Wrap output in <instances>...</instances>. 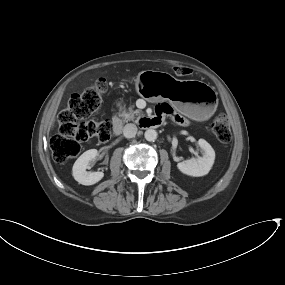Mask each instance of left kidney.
I'll return each instance as SVG.
<instances>
[{
  "mask_svg": "<svg viewBox=\"0 0 285 285\" xmlns=\"http://www.w3.org/2000/svg\"><path fill=\"white\" fill-rule=\"evenodd\" d=\"M198 146L202 150V157L192 158L177 164L178 169L189 176L200 177L209 173L215 160V151L204 139H199Z\"/></svg>",
  "mask_w": 285,
  "mask_h": 285,
  "instance_id": "5707ae66",
  "label": "left kidney"
}]
</instances>
